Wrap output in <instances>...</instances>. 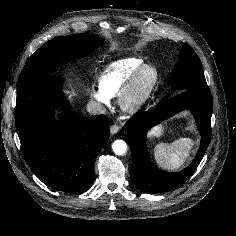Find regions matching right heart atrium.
<instances>
[{
  "label": "right heart atrium",
  "instance_id": "obj_1",
  "mask_svg": "<svg viewBox=\"0 0 236 236\" xmlns=\"http://www.w3.org/2000/svg\"><path fill=\"white\" fill-rule=\"evenodd\" d=\"M89 94L92 99L102 105H108L110 103V97L99 86L92 85Z\"/></svg>",
  "mask_w": 236,
  "mask_h": 236
}]
</instances>
